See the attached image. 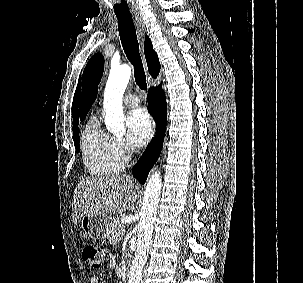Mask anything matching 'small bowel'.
Instances as JSON below:
<instances>
[{"label":"small bowel","instance_id":"obj_1","mask_svg":"<svg viewBox=\"0 0 303 283\" xmlns=\"http://www.w3.org/2000/svg\"><path fill=\"white\" fill-rule=\"evenodd\" d=\"M116 260L113 258L109 262V267H114ZM90 283H101L100 278L97 275H94L90 278Z\"/></svg>","mask_w":303,"mask_h":283}]
</instances>
